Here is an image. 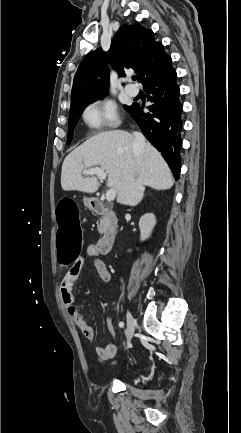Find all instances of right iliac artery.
<instances>
[{
	"label": "right iliac artery",
	"mask_w": 241,
	"mask_h": 433,
	"mask_svg": "<svg viewBox=\"0 0 241 433\" xmlns=\"http://www.w3.org/2000/svg\"><path fill=\"white\" fill-rule=\"evenodd\" d=\"M119 326L122 328V327L124 326V323H123V322H120V323H119Z\"/></svg>",
	"instance_id": "right-iliac-artery-1"
}]
</instances>
